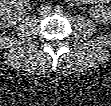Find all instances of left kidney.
I'll use <instances>...</instances> for the list:
<instances>
[{"label":"left kidney","mask_w":111,"mask_h":106,"mask_svg":"<svg viewBox=\"0 0 111 106\" xmlns=\"http://www.w3.org/2000/svg\"><path fill=\"white\" fill-rule=\"evenodd\" d=\"M109 11V10H108ZM105 11L101 6L99 8L93 9V16L98 20H107L111 17V12Z\"/></svg>","instance_id":"1"}]
</instances>
